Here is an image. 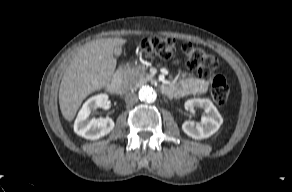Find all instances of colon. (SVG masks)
<instances>
[{"label":"colon","instance_id":"obj_1","mask_svg":"<svg viewBox=\"0 0 292 192\" xmlns=\"http://www.w3.org/2000/svg\"><path fill=\"white\" fill-rule=\"evenodd\" d=\"M141 49L148 55L168 59L176 53L177 42L170 37L151 36L141 41ZM180 50L188 67L196 70L201 76H209L218 67V60L213 54L190 42H183ZM211 96L219 105L226 103L229 97V86L223 76L218 75L213 78Z\"/></svg>","mask_w":292,"mask_h":192}]
</instances>
